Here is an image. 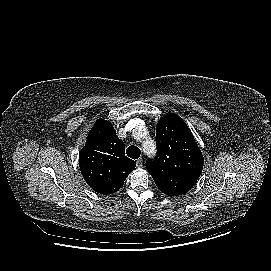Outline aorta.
Here are the masks:
<instances>
[{
  "label": "aorta",
  "instance_id": "762f6f07",
  "mask_svg": "<svg viewBox=\"0 0 271 271\" xmlns=\"http://www.w3.org/2000/svg\"><path fill=\"white\" fill-rule=\"evenodd\" d=\"M143 131H145V128H143ZM143 149H144V152L149 155V156H152L155 154L156 152V146H155V143L154 141L152 140H147L143 143Z\"/></svg>",
  "mask_w": 271,
  "mask_h": 271
}]
</instances>
